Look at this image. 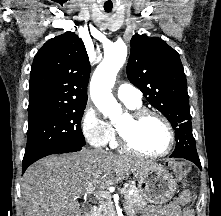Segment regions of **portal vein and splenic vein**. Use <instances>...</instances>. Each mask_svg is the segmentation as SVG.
<instances>
[{"label":"portal vein and splenic vein","instance_id":"portal-vein-and-splenic-vein-1","mask_svg":"<svg viewBox=\"0 0 221 216\" xmlns=\"http://www.w3.org/2000/svg\"><path fill=\"white\" fill-rule=\"evenodd\" d=\"M126 188H122L121 190H120V193L121 194H124V193H126ZM92 193H94V189H88L86 192H85V195H87V194H92ZM133 193V191H129L128 192V194H132ZM95 195V197L97 198V199H102V198H106V199H108V193L107 192H105V191H99L98 193H95L94 194Z\"/></svg>","mask_w":221,"mask_h":216}]
</instances>
